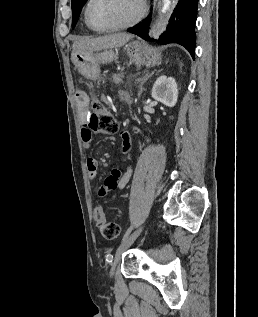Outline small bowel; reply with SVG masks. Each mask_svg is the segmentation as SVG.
Returning a JSON list of instances; mask_svg holds the SVG:
<instances>
[{"mask_svg":"<svg viewBox=\"0 0 258 317\" xmlns=\"http://www.w3.org/2000/svg\"><path fill=\"white\" fill-rule=\"evenodd\" d=\"M134 132L137 134H140L144 137L146 142H150L149 138L145 136L139 128L134 127ZM122 138H123V153H128L130 149V143H129V135L127 132H122ZM81 139H82V145L84 148L88 149L92 145V132H90L86 127L82 129L81 131ZM86 168H87V174L88 178L90 180H94L97 176V169L98 164L96 159L94 158H88L86 161ZM132 174V167L128 166L124 173H121V171L118 168H114L110 175L105 179L104 184L102 187H100L98 193L100 196L105 195L108 191L111 190H121L123 189L126 184L128 183L130 176Z\"/></svg>","mask_w":258,"mask_h":317,"instance_id":"small-bowel-1","label":"small bowel"}]
</instances>
